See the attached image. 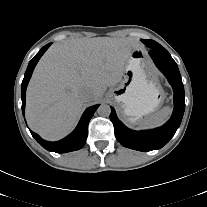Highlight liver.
I'll list each match as a JSON object with an SVG mask.
<instances>
[{
  "label": "liver",
  "mask_w": 207,
  "mask_h": 207,
  "mask_svg": "<svg viewBox=\"0 0 207 207\" xmlns=\"http://www.w3.org/2000/svg\"><path fill=\"white\" fill-rule=\"evenodd\" d=\"M131 38H80L53 44L37 64L26 93V119L42 138L59 140L77 124L85 102L118 84L131 52ZM84 91L90 92L87 100Z\"/></svg>",
  "instance_id": "1"
}]
</instances>
